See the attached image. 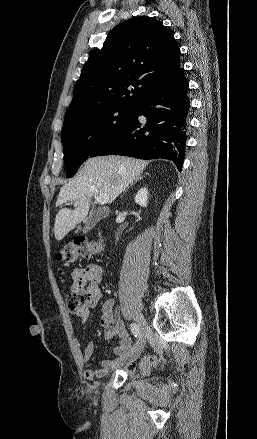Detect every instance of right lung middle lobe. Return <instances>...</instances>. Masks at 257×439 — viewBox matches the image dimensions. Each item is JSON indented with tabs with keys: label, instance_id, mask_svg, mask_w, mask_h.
I'll return each mask as SVG.
<instances>
[{
	"label": "right lung middle lobe",
	"instance_id": "dd1d6c3e",
	"mask_svg": "<svg viewBox=\"0 0 257 439\" xmlns=\"http://www.w3.org/2000/svg\"><path fill=\"white\" fill-rule=\"evenodd\" d=\"M134 107L109 106L64 121L61 142L68 178L75 175L92 151L133 117Z\"/></svg>",
	"mask_w": 257,
	"mask_h": 439
}]
</instances>
